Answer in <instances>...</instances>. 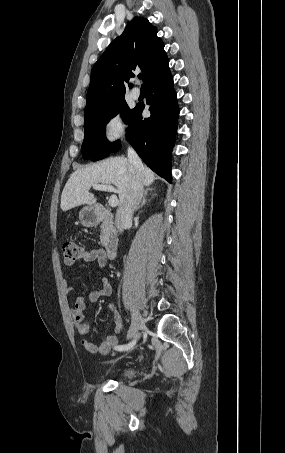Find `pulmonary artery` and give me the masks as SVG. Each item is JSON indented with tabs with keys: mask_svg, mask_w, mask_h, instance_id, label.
<instances>
[{
	"mask_svg": "<svg viewBox=\"0 0 285 453\" xmlns=\"http://www.w3.org/2000/svg\"><path fill=\"white\" fill-rule=\"evenodd\" d=\"M140 89L135 87L131 90V96L134 98V99H138L140 97Z\"/></svg>",
	"mask_w": 285,
	"mask_h": 453,
	"instance_id": "e3ab8cb5",
	"label": "pulmonary artery"
}]
</instances>
